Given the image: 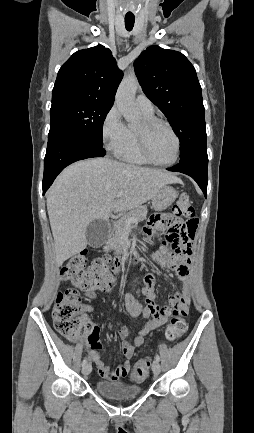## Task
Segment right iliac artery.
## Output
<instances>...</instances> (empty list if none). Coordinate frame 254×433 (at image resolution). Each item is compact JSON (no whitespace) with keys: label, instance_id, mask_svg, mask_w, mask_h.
I'll return each mask as SVG.
<instances>
[{"label":"right iliac artery","instance_id":"obj_1","mask_svg":"<svg viewBox=\"0 0 254 433\" xmlns=\"http://www.w3.org/2000/svg\"><path fill=\"white\" fill-rule=\"evenodd\" d=\"M87 363V359L85 358L82 362V366H84Z\"/></svg>","mask_w":254,"mask_h":433}]
</instances>
